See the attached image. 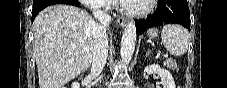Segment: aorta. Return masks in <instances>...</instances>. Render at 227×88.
I'll list each match as a JSON object with an SVG mask.
<instances>
[{
	"label": "aorta",
	"mask_w": 227,
	"mask_h": 88,
	"mask_svg": "<svg viewBox=\"0 0 227 88\" xmlns=\"http://www.w3.org/2000/svg\"><path fill=\"white\" fill-rule=\"evenodd\" d=\"M136 43V27L134 23H129L123 32L121 39V58L128 64L133 56Z\"/></svg>",
	"instance_id": "aorta-1"
}]
</instances>
